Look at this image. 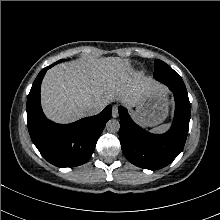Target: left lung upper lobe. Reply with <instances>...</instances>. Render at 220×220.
<instances>
[{"instance_id": "left-lung-upper-lobe-1", "label": "left lung upper lobe", "mask_w": 220, "mask_h": 220, "mask_svg": "<svg viewBox=\"0 0 220 220\" xmlns=\"http://www.w3.org/2000/svg\"><path fill=\"white\" fill-rule=\"evenodd\" d=\"M155 69H154V78L164 84L169 85V83L176 84L179 86H185L182 78L165 62L161 60H155ZM172 71L176 74L175 77L169 75V72Z\"/></svg>"}]
</instances>
